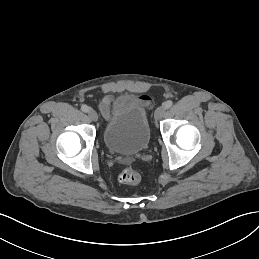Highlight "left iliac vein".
<instances>
[{
  "label": "left iliac vein",
  "mask_w": 259,
  "mask_h": 259,
  "mask_svg": "<svg viewBox=\"0 0 259 259\" xmlns=\"http://www.w3.org/2000/svg\"><path fill=\"white\" fill-rule=\"evenodd\" d=\"M165 107L164 106H160V107H158L157 109H156V111H155V119L156 120H159V119H161L163 116H164V114H165Z\"/></svg>",
  "instance_id": "4c4485c4"
}]
</instances>
